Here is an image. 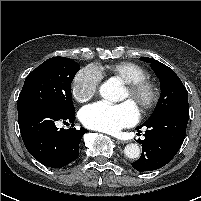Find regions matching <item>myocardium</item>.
Returning <instances> with one entry per match:
<instances>
[{"label":"myocardium","mask_w":201,"mask_h":201,"mask_svg":"<svg viewBox=\"0 0 201 201\" xmlns=\"http://www.w3.org/2000/svg\"><path fill=\"white\" fill-rule=\"evenodd\" d=\"M130 97L138 101V112L144 115L150 112L158 102L159 89L157 85L145 78L133 82L125 83Z\"/></svg>","instance_id":"myocardium-1"}]
</instances>
